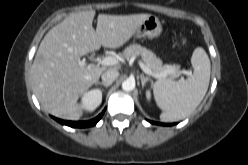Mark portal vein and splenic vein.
Here are the masks:
<instances>
[{
	"label": "portal vein and splenic vein",
	"instance_id": "portal-vein-and-splenic-vein-1",
	"mask_svg": "<svg viewBox=\"0 0 248 165\" xmlns=\"http://www.w3.org/2000/svg\"><path fill=\"white\" fill-rule=\"evenodd\" d=\"M79 64L85 65V62L80 61ZM99 64L104 65V66L116 65V64H118V59L113 57V56H106L99 62ZM139 66L145 74L150 75L154 78H165V76H166L165 73H160V74L153 73L142 61H139ZM183 73L186 75H191V73L187 70H184Z\"/></svg>",
	"mask_w": 248,
	"mask_h": 165
}]
</instances>
